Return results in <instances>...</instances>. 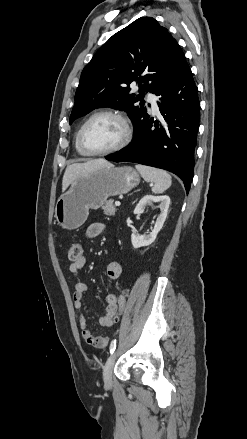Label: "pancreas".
I'll return each mask as SVG.
<instances>
[{"label": "pancreas", "instance_id": "obj_1", "mask_svg": "<svg viewBox=\"0 0 247 439\" xmlns=\"http://www.w3.org/2000/svg\"><path fill=\"white\" fill-rule=\"evenodd\" d=\"M102 209L104 214L108 216H114L117 211V209L113 205V200L106 201Z\"/></svg>", "mask_w": 247, "mask_h": 439}]
</instances>
